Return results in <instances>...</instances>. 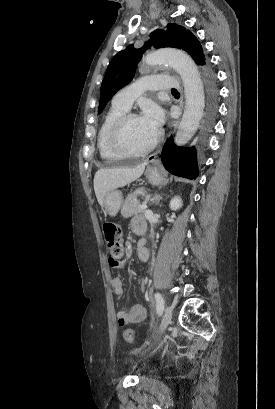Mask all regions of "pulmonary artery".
<instances>
[{"instance_id":"1","label":"pulmonary artery","mask_w":275,"mask_h":409,"mask_svg":"<svg viewBox=\"0 0 275 409\" xmlns=\"http://www.w3.org/2000/svg\"><path fill=\"white\" fill-rule=\"evenodd\" d=\"M167 78L168 75L165 73L142 76L143 85H139V82L134 80L132 85L124 86L122 91L114 96L112 103L128 111L138 94H153L154 88H178L180 86L178 79Z\"/></svg>"}]
</instances>
